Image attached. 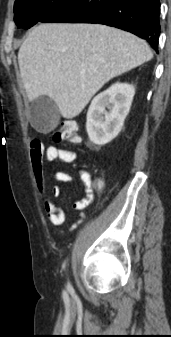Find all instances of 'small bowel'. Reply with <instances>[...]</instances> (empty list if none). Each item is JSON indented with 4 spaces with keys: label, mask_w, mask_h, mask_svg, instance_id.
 Segmentation results:
<instances>
[{
    "label": "small bowel",
    "mask_w": 171,
    "mask_h": 337,
    "mask_svg": "<svg viewBox=\"0 0 171 337\" xmlns=\"http://www.w3.org/2000/svg\"><path fill=\"white\" fill-rule=\"evenodd\" d=\"M56 160L71 164L77 160V154L75 151L57 146H48L47 148H44L39 140L32 141L31 164L41 201L46 210L49 222L54 226H61L66 220L65 213L53 200V197L60 195L61 188L59 186H54L50 193L47 187L45 173V165ZM78 174L80 181L84 186L85 194L82 199L73 204V208L77 211V214L70 226V230H74L84 220L85 214L83 211L94 200L93 188L96 184L92 181L90 174L83 169H80ZM54 179L60 184H70L73 180L71 174L64 171L55 172Z\"/></svg>",
    "instance_id": "1"
}]
</instances>
